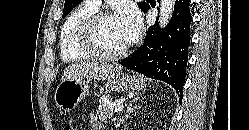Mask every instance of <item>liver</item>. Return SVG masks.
<instances>
[{
	"label": "liver",
	"mask_w": 249,
	"mask_h": 130,
	"mask_svg": "<svg viewBox=\"0 0 249 130\" xmlns=\"http://www.w3.org/2000/svg\"><path fill=\"white\" fill-rule=\"evenodd\" d=\"M122 67L98 62H81L69 65L63 72L61 81L102 79L106 80L121 71Z\"/></svg>",
	"instance_id": "liver-1"
}]
</instances>
